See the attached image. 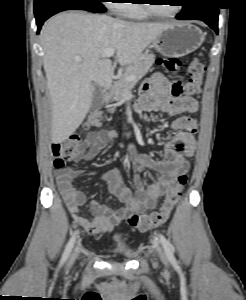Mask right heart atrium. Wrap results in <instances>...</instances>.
I'll return each instance as SVG.
<instances>
[{
    "mask_svg": "<svg viewBox=\"0 0 246 300\" xmlns=\"http://www.w3.org/2000/svg\"><path fill=\"white\" fill-rule=\"evenodd\" d=\"M109 2V6L113 9V10H115V11H117L118 10V8H119V5L120 4H122V3H119L120 1H123V0H108Z\"/></svg>",
    "mask_w": 246,
    "mask_h": 300,
    "instance_id": "d8ad5b80",
    "label": "right heart atrium"
}]
</instances>
